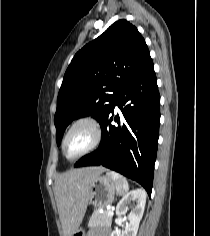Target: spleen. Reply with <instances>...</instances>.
Instances as JSON below:
<instances>
[{"label":"spleen","instance_id":"spleen-1","mask_svg":"<svg viewBox=\"0 0 210 236\" xmlns=\"http://www.w3.org/2000/svg\"><path fill=\"white\" fill-rule=\"evenodd\" d=\"M113 180L117 183V192L121 195H124L129 190V185L125 177L120 175L119 173H116L114 171H110L107 173Z\"/></svg>","mask_w":210,"mask_h":236}]
</instances>
